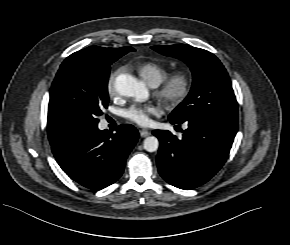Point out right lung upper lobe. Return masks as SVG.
<instances>
[{"mask_svg": "<svg viewBox=\"0 0 290 245\" xmlns=\"http://www.w3.org/2000/svg\"><path fill=\"white\" fill-rule=\"evenodd\" d=\"M134 51L132 47L103 48L90 46L76 53L85 54L92 58H112L114 56L125 55ZM76 128L66 119V117L51 103L48 107L47 132L50 143L66 135Z\"/></svg>", "mask_w": 290, "mask_h": 245, "instance_id": "1", "label": "right lung upper lobe"}]
</instances>
